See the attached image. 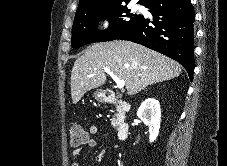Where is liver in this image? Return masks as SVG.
Here are the masks:
<instances>
[{
  "label": "liver",
  "instance_id": "obj_1",
  "mask_svg": "<svg viewBox=\"0 0 227 166\" xmlns=\"http://www.w3.org/2000/svg\"><path fill=\"white\" fill-rule=\"evenodd\" d=\"M104 68L125 81L128 95L149 85L171 80L182 72L173 59L130 41H110L89 46L71 71V97L76 104L91 89L106 81Z\"/></svg>",
  "mask_w": 227,
  "mask_h": 166
}]
</instances>
